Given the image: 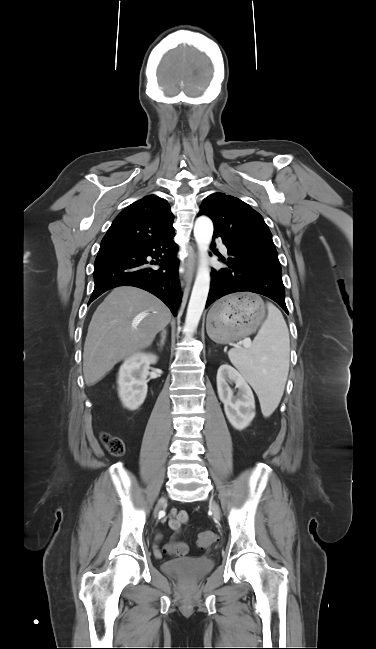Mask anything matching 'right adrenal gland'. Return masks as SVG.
<instances>
[{
    "instance_id": "1",
    "label": "right adrenal gland",
    "mask_w": 376,
    "mask_h": 649,
    "mask_svg": "<svg viewBox=\"0 0 376 649\" xmlns=\"http://www.w3.org/2000/svg\"><path fill=\"white\" fill-rule=\"evenodd\" d=\"M165 339H166V331H163V334H162V338H161V340H160V343L157 344L158 347L160 348V350H162V348H163L164 345H165Z\"/></svg>"
}]
</instances>
